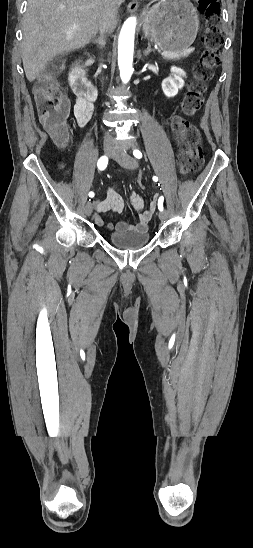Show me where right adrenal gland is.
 I'll return each mask as SVG.
<instances>
[{
    "mask_svg": "<svg viewBox=\"0 0 253 548\" xmlns=\"http://www.w3.org/2000/svg\"><path fill=\"white\" fill-rule=\"evenodd\" d=\"M92 43L96 44L99 48H103V47H105L106 40H105V37L103 36L101 38L93 40Z\"/></svg>",
    "mask_w": 253,
    "mask_h": 548,
    "instance_id": "right-adrenal-gland-1",
    "label": "right adrenal gland"
}]
</instances>
